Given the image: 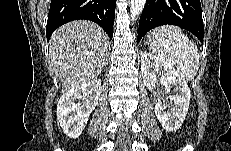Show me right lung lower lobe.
Instances as JSON below:
<instances>
[{"label":"right lung lower lobe","instance_id":"98d812e1","mask_svg":"<svg viewBox=\"0 0 231 151\" xmlns=\"http://www.w3.org/2000/svg\"><path fill=\"white\" fill-rule=\"evenodd\" d=\"M115 6L116 0H51L46 27L47 40L59 26L79 19L97 23L111 39Z\"/></svg>","mask_w":231,"mask_h":151}]
</instances>
